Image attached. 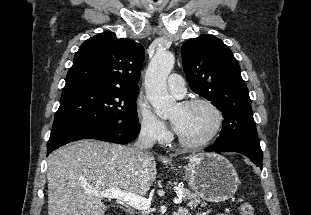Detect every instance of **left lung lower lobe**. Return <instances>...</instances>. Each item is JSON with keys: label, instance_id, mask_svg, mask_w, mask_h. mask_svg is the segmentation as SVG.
<instances>
[{"label": "left lung lower lobe", "instance_id": "left-lung-lower-lobe-1", "mask_svg": "<svg viewBox=\"0 0 311 215\" xmlns=\"http://www.w3.org/2000/svg\"><path fill=\"white\" fill-rule=\"evenodd\" d=\"M205 151L238 152L249 157L252 162L262 168L263 153L258 140L248 138H236L209 146Z\"/></svg>", "mask_w": 311, "mask_h": 215}]
</instances>
